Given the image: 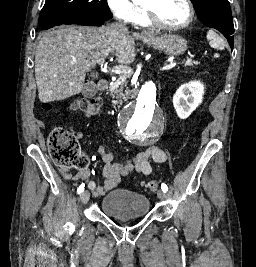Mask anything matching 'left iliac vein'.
Returning <instances> with one entry per match:
<instances>
[{"label": "left iliac vein", "instance_id": "1", "mask_svg": "<svg viewBox=\"0 0 256 267\" xmlns=\"http://www.w3.org/2000/svg\"><path fill=\"white\" fill-rule=\"evenodd\" d=\"M157 197H158L160 200H164V199H166V193L163 192L162 190H158V191H157Z\"/></svg>", "mask_w": 256, "mask_h": 267}]
</instances>
